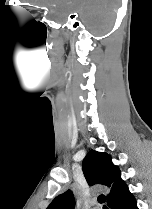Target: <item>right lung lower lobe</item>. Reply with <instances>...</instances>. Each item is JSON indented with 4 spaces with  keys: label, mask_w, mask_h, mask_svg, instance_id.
<instances>
[{
    "label": "right lung lower lobe",
    "mask_w": 152,
    "mask_h": 209,
    "mask_svg": "<svg viewBox=\"0 0 152 209\" xmlns=\"http://www.w3.org/2000/svg\"><path fill=\"white\" fill-rule=\"evenodd\" d=\"M110 209H138L136 200L126 186L112 201L108 204Z\"/></svg>",
    "instance_id": "right-lung-lower-lobe-1"
}]
</instances>
